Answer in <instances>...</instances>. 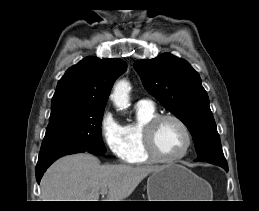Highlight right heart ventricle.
Wrapping results in <instances>:
<instances>
[{"mask_svg":"<svg viewBox=\"0 0 259 211\" xmlns=\"http://www.w3.org/2000/svg\"><path fill=\"white\" fill-rule=\"evenodd\" d=\"M158 115L154 106L136 105V120L122 127L124 151L123 160L131 164L151 163L144 150L142 129L153 117Z\"/></svg>","mask_w":259,"mask_h":211,"instance_id":"right-heart-ventricle-1","label":"right heart ventricle"}]
</instances>
